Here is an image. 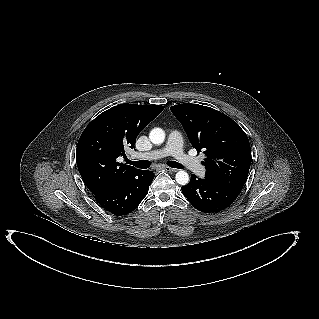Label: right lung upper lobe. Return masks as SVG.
<instances>
[{
    "mask_svg": "<svg viewBox=\"0 0 319 319\" xmlns=\"http://www.w3.org/2000/svg\"><path fill=\"white\" fill-rule=\"evenodd\" d=\"M163 109L164 106L121 104L90 122L79 138L76 162L92 194L138 170L116 162V159L125 156V147L134 148L138 134Z\"/></svg>",
    "mask_w": 319,
    "mask_h": 319,
    "instance_id": "right-lung-upper-lobe-1",
    "label": "right lung upper lobe"
}]
</instances>
